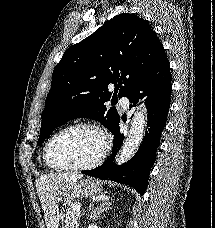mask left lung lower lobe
<instances>
[{"instance_id":"left-lung-lower-lobe-1","label":"left lung lower lobe","mask_w":215,"mask_h":228,"mask_svg":"<svg viewBox=\"0 0 215 228\" xmlns=\"http://www.w3.org/2000/svg\"><path fill=\"white\" fill-rule=\"evenodd\" d=\"M171 91L169 61L165 50L162 48L147 74L127 96L134 106L140 99H145L146 101L148 113L147 130L137 153L125 164L114 165V158L124 139L118 124L113 132L114 142L111 156L100 167L93 170H85L82 173L102 180L109 179L130 185L143 195L148 184L151 167L156 160V149L160 144L161 132L166 125L171 102Z\"/></svg>"}]
</instances>
